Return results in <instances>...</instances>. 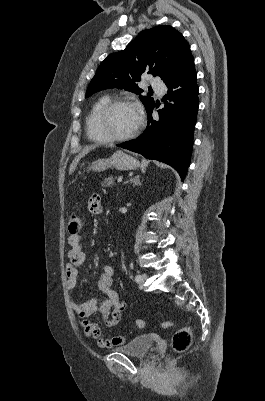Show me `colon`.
I'll use <instances>...</instances> for the list:
<instances>
[{
	"mask_svg": "<svg viewBox=\"0 0 265 401\" xmlns=\"http://www.w3.org/2000/svg\"><path fill=\"white\" fill-rule=\"evenodd\" d=\"M81 227H82L81 217L76 213L71 214L68 218V231L70 232V234H77L80 231ZM135 325L136 328L142 329L144 327V321L137 320ZM171 326L172 323L169 321L162 323L163 328H169ZM191 342H192L191 329L188 327H183L178 329L174 333L171 341V346L175 352L179 353L188 350V348L191 345Z\"/></svg>",
	"mask_w": 265,
	"mask_h": 401,
	"instance_id": "5ec220e1",
	"label": "colon"
}]
</instances>
